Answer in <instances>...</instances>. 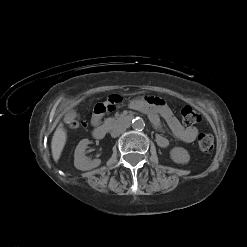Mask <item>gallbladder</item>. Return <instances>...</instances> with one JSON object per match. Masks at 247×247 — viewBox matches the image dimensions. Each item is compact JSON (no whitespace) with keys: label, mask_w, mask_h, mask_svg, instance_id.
<instances>
[{"label":"gallbladder","mask_w":247,"mask_h":247,"mask_svg":"<svg viewBox=\"0 0 247 247\" xmlns=\"http://www.w3.org/2000/svg\"><path fill=\"white\" fill-rule=\"evenodd\" d=\"M74 117H75V112L71 110L65 115L64 120L66 122H71L74 119Z\"/></svg>","instance_id":"obj_1"}]
</instances>
